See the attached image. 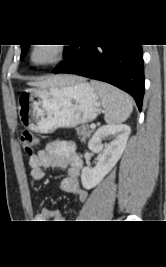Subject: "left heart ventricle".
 <instances>
[{"label":"left heart ventricle","mask_w":166,"mask_h":267,"mask_svg":"<svg viewBox=\"0 0 166 267\" xmlns=\"http://www.w3.org/2000/svg\"><path fill=\"white\" fill-rule=\"evenodd\" d=\"M51 53L48 49L46 48H41L35 53V58L38 61H43L46 60L50 57Z\"/></svg>","instance_id":"obj_1"}]
</instances>
